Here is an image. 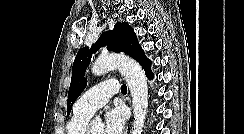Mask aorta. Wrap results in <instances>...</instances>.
I'll return each instance as SVG.
<instances>
[{"mask_svg":"<svg viewBox=\"0 0 244 134\" xmlns=\"http://www.w3.org/2000/svg\"><path fill=\"white\" fill-rule=\"evenodd\" d=\"M113 69H118L125 77L132 96L134 122L131 134H142L148 107L145 73L136 61L124 55L101 56L94 62L91 71L99 76Z\"/></svg>","mask_w":244,"mask_h":134,"instance_id":"762f6f07","label":"aorta"}]
</instances>
